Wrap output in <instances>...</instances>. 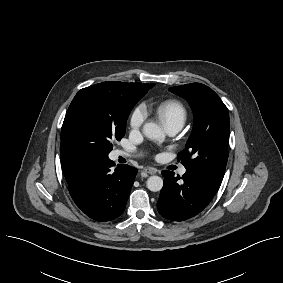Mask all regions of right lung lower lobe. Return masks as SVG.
Returning a JSON list of instances; mask_svg holds the SVG:
<instances>
[{"label":"right lung lower lobe","instance_id":"right-lung-lower-lobe-1","mask_svg":"<svg viewBox=\"0 0 283 283\" xmlns=\"http://www.w3.org/2000/svg\"><path fill=\"white\" fill-rule=\"evenodd\" d=\"M113 164L108 157L86 160L67 182L76 205L96 221H110L123 213L137 174L136 168L112 169Z\"/></svg>","mask_w":283,"mask_h":283}]
</instances>
